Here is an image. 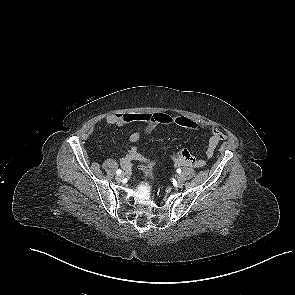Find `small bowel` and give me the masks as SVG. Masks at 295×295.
Segmentation results:
<instances>
[{
	"label": "small bowel",
	"mask_w": 295,
	"mask_h": 295,
	"mask_svg": "<svg viewBox=\"0 0 295 295\" xmlns=\"http://www.w3.org/2000/svg\"><path fill=\"white\" fill-rule=\"evenodd\" d=\"M131 122H142L144 128L142 132H133L129 136L130 143H136L142 135H149L159 125H173L191 130H200L209 128L211 131L210 138L206 147L205 155L207 159L212 158L218 144L227 138L226 134L217 127H208L200 124L185 116H174L167 113H118L106 116L101 123L108 127L120 126ZM144 161V157L137 151L135 146L131 147L128 152L120 158V164L124 169H129L132 162ZM176 164L180 166H189L201 168L205 166V158H195L186 149L181 150L176 156Z\"/></svg>",
	"instance_id": "obj_1"
}]
</instances>
